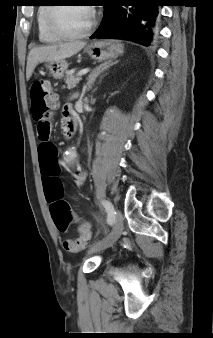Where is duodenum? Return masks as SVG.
Here are the masks:
<instances>
[{"instance_id":"obj_1","label":"duodenum","mask_w":213,"mask_h":338,"mask_svg":"<svg viewBox=\"0 0 213 338\" xmlns=\"http://www.w3.org/2000/svg\"><path fill=\"white\" fill-rule=\"evenodd\" d=\"M77 129V120L75 117H70L69 121L64 127V131L68 134H73Z\"/></svg>"}]
</instances>
